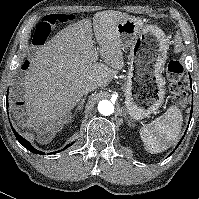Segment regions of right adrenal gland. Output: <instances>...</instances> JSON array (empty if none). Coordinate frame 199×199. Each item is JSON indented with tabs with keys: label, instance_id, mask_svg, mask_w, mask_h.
Masks as SVG:
<instances>
[{
	"label": "right adrenal gland",
	"instance_id": "2a0ac1e0",
	"mask_svg": "<svg viewBox=\"0 0 199 199\" xmlns=\"http://www.w3.org/2000/svg\"><path fill=\"white\" fill-rule=\"evenodd\" d=\"M85 99H86V97H84V98L81 99V101L79 102V105L76 108V111H80L83 108Z\"/></svg>",
	"mask_w": 199,
	"mask_h": 199
}]
</instances>
